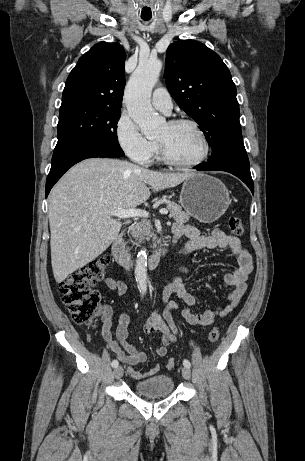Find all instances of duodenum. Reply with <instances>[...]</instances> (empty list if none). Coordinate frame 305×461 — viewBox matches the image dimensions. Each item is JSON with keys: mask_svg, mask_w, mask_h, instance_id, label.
Segmentation results:
<instances>
[{"mask_svg": "<svg viewBox=\"0 0 305 461\" xmlns=\"http://www.w3.org/2000/svg\"><path fill=\"white\" fill-rule=\"evenodd\" d=\"M111 254L114 261L119 265H128L134 261V259L131 258L124 250V237L121 234L116 236V238L113 240L111 245ZM165 255V246H160L151 253L150 257L148 258V266L150 268H155Z\"/></svg>", "mask_w": 305, "mask_h": 461, "instance_id": "obj_1", "label": "duodenum"}]
</instances>
